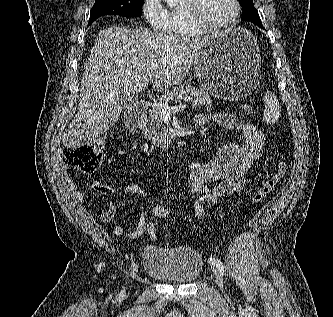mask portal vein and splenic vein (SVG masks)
<instances>
[{
    "mask_svg": "<svg viewBox=\"0 0 333 317\" xmlns=\"http://www.w3.org/2000/svg\"><path fill=\"white\" fill-rule=\"evenodd\" d=\"M157 64H153V67H156ZM188 101H192V98H187ZM186 108V104H179V105H175V106H169V105H164L162 108V113L165 116L170 115L171 113H175L178 112L180 110H183Z\"/></svg>",
    "mask_w": 333,
    "mask_h": 317,
    "instance_id": "portal-vein-and-splenic-vein-1",
    "label": "portal vein and splenic vein"
}]
</instances>
